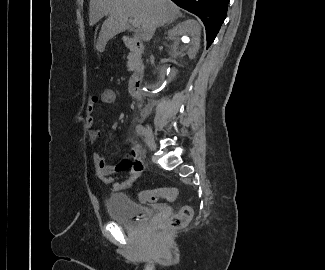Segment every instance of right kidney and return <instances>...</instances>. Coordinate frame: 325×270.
Segmentation results:
<instances>
[{
	"label": "right kidney",
	"mask_w": 325,
	"mask_h": 270,
	"mask_svg": "<svg viewBox=\"0 0 325 270\" xmlns=\"http://www.w3.org/2000/svg\"><path fill=\"white\" fill-rule=\"evenodd\" d=\"M168 38L171 45L167 52L173 66L164 64L160 67V72L162 75L167 74L171 80L186 66L188 59L195 58L200 47V26L194 20L184 21L168 32Z\"/></svg>",
	"instance_id": "1"
}]
</instances>
